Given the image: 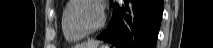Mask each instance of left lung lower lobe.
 Wrapping results in <instances>:
<instances>
[{
  "instance_id": "left-lung-lower-lobe-1",
  "label": "left lung lower lobe",
  "mask_w": 213,
  "mask_h": 48,
  "mask_svg": "<svg viewBox=\"0 0 213 48\" xmlns=\"http://www.w3.org/2000/svg\"><path fill=\"white\" fill-rule=\"evenodd\" d=\"M163 0H123L114 5L107 29L97 39L117 48H155Z\"/></svg>"
}]
</instances>
